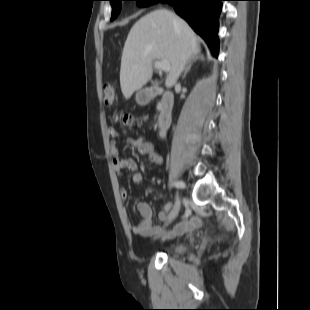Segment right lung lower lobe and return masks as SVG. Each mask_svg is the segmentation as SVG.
Returning a JSON list of instances; mask_svg holds the SVG:
<instances>
[{
    "label": "right lung lower lobe",
    "mask_w": 310,
    "mask_h": 310,
    "mask_svg": "<svg viewBox=\"0 0 310 310\" xmlns=\"http://www.w3.org/2000/svg\"><path fill=\"white\" fill-rule=\"evenodd\" d=\"M167 2L174 7L176 13L184 18L189 25L208 44L211 52L217 57L218 18L224 0H156Z\"/></svg>",
    "instance_id": "1"
}]
</instances>
